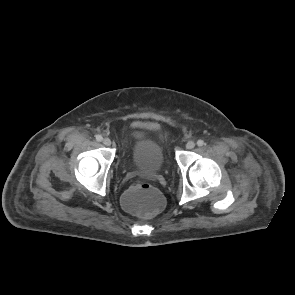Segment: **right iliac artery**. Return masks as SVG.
<instances>
[{"label": "right iliac artery", "mask_w": 295, "mask_h": 295, "mask_svg": "<svg viewBox=\"0 0 295 295\" xmlns=\"http://www.w3.org/2000/svg\"><path fill=\"white\" fill-rule=\"evenodd\" d=\"M96 140L99 141V142H101L103 140V137L101 135H97L96 136Z\"/></svg>", "instance_id": "82829eb1"}]
</instances>
